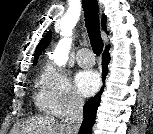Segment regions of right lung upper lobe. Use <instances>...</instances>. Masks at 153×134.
I'll use <instances>...</instances> for the list:
<instances>
[{
    "label": "right lung upper lobe",
    "mask_w": 153,
    "mask_h": 134,
    "mask_svg": "<svg viewBox=\"0 0 153 134\" xmlns=\"http://www.w3.org/2000/svg\"><path fill=\"white\" fill-rule=\"evenodd\" d=\"M105 24H106V17L103 16L102 27L106 31ZM51 36H52L51 31H48L47 34L45 35V37L39 42V44L36 48V51H35V57H34V61H33L34 64L37 63L38 57L42 53V51H44L47 48V46L49 45V43L51 41Z\"/></svg>",
    "instance_id": "cb5924a9"
}]
</instances>
